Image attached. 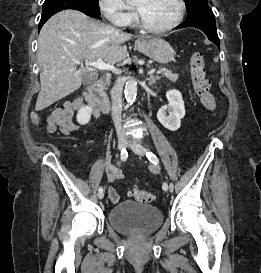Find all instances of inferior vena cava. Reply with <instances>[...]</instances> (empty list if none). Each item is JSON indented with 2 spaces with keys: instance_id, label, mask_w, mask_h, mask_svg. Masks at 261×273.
I'll use <instances>...</instances> for the list:
<instances>
[{
  "instance_id": "602c4592",
  "label": "inferior vena cava",
  "mask_w": 261,
  "mask_h": 273,
  "mask_svg": "<svg viewBox=\"0 0 261 273\" xmlns=\"http://www.w3.org/2000/svg\"><path fill=\"white\" fill-rule=\"evenodd\" d=\"M122 89H123L122 80L118 78L111 90L112 119L115 125L118 138L125 137V132L122 128Z\"/></svg>"
}]
</instances>
